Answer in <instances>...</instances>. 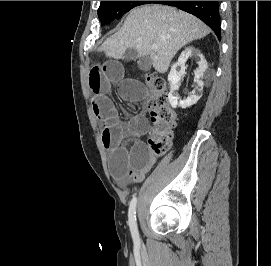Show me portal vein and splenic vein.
Returning a JSON list of instances; mask_svg holds the SVG:
<instances>
[{
	"label": "portal vein and splenic vein",
	"instance_id": "portal-vein-and-splenic-vein-1",
	"mask_svg": "<svg viewBox=\"0 0 271 266\" xmlns=\"http://www.w3.org/2000/svg\"><path fill=\"white\" fill-rule=\"evenodd\" d=\"M152 49L157 50L158 47H157L156 45H153V46H152Z\"/></svg>",
	"mask_w": 271,
	"mask_h": 266
}]
</instances>
